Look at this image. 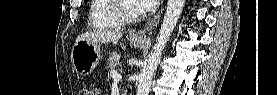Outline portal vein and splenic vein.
Returning <instances> with one entry per match:
<instances>
[{"label": "portal vein and splenic vein", "mask_w": 277, "mask_h": 95, "mask_svg": "<svg viewBox=\"0 0 277 95\" xmlns=\"http://www.w3.org/2000/svg\"><path fill=\"white\" fill-rule=\"evenodd\" d=\"M111 76H112V78L115 79V80L121 79V75H120L116 70H113V71L111 72Z\"/></svg>", "instance_id": "portal-vein-and-splenic-vein-1"}]
</instances>
